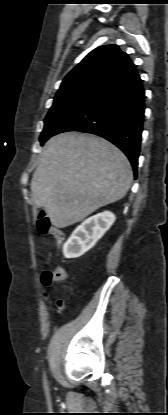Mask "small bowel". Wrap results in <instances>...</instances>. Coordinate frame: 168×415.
<instances>
[{"mask_svg": "<svg viewBox=\"0 0 168 415\" xmlns=\"http://www.w3.org/2000/svg\"><path fill=\"white\" fill-rule=\"evenodd\" d=\"M57 305H58V307L61 309V308L63 307V303H62V301H58V302H57Z\"/></svg>", "mask_w": 168, "mask_h": 415, "instance_id": "small-bowel-1", "label": "small bowel"}]
</instances>
